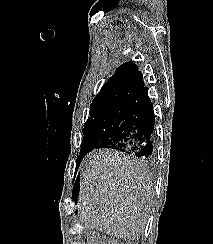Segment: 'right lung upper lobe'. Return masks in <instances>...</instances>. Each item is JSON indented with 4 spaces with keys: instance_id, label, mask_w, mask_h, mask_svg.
I'll list each match as a JSON object with an SVG mask.
<instances>
[{
    "instance_id": "right-lung-upper-lobe-1",
    "label": "right lung upper lobe",
    "mask_w": 213,
    "mask_h": 244,
    "mask_svg": "<svg viewBox=\"0 0 213 244\" xmlns=\"http://www.w3.org/2000/svg\"><path fill=\"white\" fill-rule=\"evenodd\" d=\"M144 87L143 76L138 67L133 62H126L117 68L94 100L119 95L137 97Z\"/></svg>"
}]
</instances>
